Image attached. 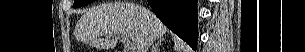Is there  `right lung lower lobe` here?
<instances>
[{
	"mask_svg": "<svg viewBox=\"0 0 305 52\" xmlns=\"http://www.w3.org/2000/svg\"><path fill=\"white\" fill-rule=\"evenodd\" d=\"M147 1L163 24L195 50L198 40L196 7L198 0Z\"/></svg>",
	"mask_w": 305,
	"mask_h": 52,
	"instance_id": "98d812e1",
	"label": "right lung lower lobe"
}]
</instances>
